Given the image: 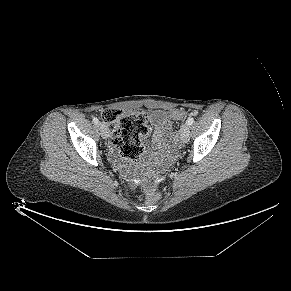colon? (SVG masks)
<instances>
[{
  "label": "colon",
  "instance_id": "5ec220e1",
  "mask_svg": "<svg viewBox=\"0 0 291 291\" xmlns=\"http://www.w3.org/2000/svg\"><path fill=\"white\" fill-rule=\"evenodd\" d=\"M169 119L182 120L185 112L174 109L168 113ZM112 137L113 144L127 159L137 160L143 153L141 135L148 131V117L144 110L119 111L108 109L102 115ZM159 192L154 186L146 191L149 203L159 200Z\"/></svg>",
  "mask_w": 291,
  "mask_h": 291
}]
</instances>
